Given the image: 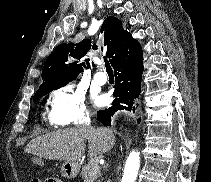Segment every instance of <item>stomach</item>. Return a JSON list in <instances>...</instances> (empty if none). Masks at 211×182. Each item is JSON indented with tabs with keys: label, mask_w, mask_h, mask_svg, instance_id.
<instances>
[{
	"label": "stomach",
	"mask_w": 211,
	"mask_h": 182,
	"mask_svg": "<svg viewBox=\"0 0 211 182\" xmlns=\"http://www.w3.org/2000/svg\"><path fill=\"white\" fill-rule=\"evenodd\" d=\"M80 164L78 161H65L61 167V175L64 178H75L79 172Z\"/></svg>",
	"instance_id": "stomach-1"
}]
</instances>
